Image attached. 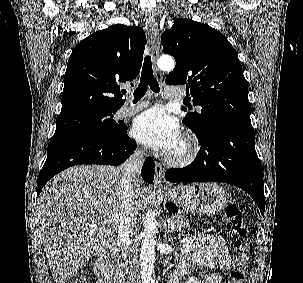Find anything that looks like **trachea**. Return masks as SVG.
<instances>
[{
    "label": "trachea",
    "instance_id": "trachea-1",
    "mask_svg": "<svg viewBox=\"0 0 303 283\" xmlns=\"http://www.w3.org/2000/svg\"><path fill=\"white\" fill-rule=\"evenodd\" d=\"M148 86L153 92H160L159 84L153 75L151 56L146 55L141 72L140 83L134 91V101H138L145 95Z\"/></svg>",
    "mask_w": 303,
    "mask_h": 283
}]
</instances>
